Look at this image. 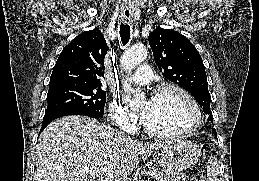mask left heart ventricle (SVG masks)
<instances>
[{
  "instance_id": "1",
  "label": "left heart ventricle",
  "mask_w": 259,
  "mask_h": 181,
  "mask_svg": "<svg viewBox=\"0 0 259 181\" xmlns=\"http://www.w3.org/2000/svg\"><path fill=\"white\" fill-rule=\"evenodd\" d=\"M140 110L147 125L158 131L185 130L194 120L191 105L176 91H167L145 100Z\"/></svg>"
}]
</instances>
